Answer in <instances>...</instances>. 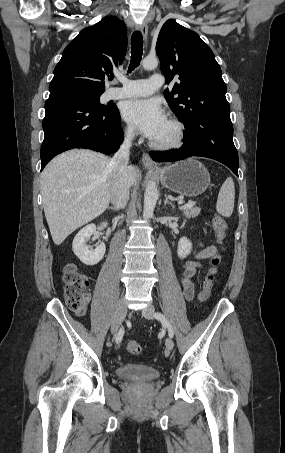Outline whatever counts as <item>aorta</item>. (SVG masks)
<instances>
[{"label": "aorta", "mask_w": 285, "mask_h": 453, "mask_svg": "<svg viewBox=\"0 0 285 453\" xmlns=\"http://www.w3.org/2000/svg\"><path fill=\"white\" fill-rule=\"evenodd\" d=\"M142 66L146 70L155 69L158 66V59L156 57L147 56L142 61ZM158 200V190L156 183L150 181L144 193V207L143 218L149 219L153 216V212Z\"/></svg>", "instance_id": "762f6f07"}]
</instances>
